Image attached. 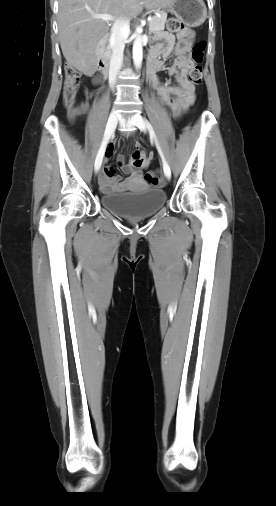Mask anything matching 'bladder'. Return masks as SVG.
Returning <instances> with one entry per match:
<instances>
[{"label":"bladder","mask_w":276,"mask_h":506,"mask_svg":"<svg viewBox=\"0 0 276 506\" xmlns=\"http://www.w3.org/2000/svg\"><path fill=\"white\" fill-rule=\"evenodd\" d=\"M101 203L116 214L139 218L154 214L166 202V192L159 188L147 187L133 192H112L101 195Z\"/></svg>","instance_id":"1"}]
</instances>
